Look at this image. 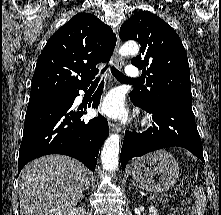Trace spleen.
<instances>
[{"label":"spleen","mask_w":221,"mask_h":215,"mask_svg":"<svg viewBox=\"0 0 221 215\" xmlns=\"http://www.w3.org/2000/svg\"><path fill=\"white\" fill-rule=\"evenodd\" d=\"M195 199V212L202 213L204 212L206 206V198L203 192V188L197 187L194 190Z\"/></svg>","instance_id":"obj_1"}]
</instances>
